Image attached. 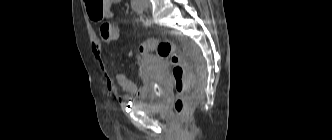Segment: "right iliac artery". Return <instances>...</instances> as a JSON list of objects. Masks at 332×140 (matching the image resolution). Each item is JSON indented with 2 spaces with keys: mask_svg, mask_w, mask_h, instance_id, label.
<instances>
[{
  "mask_svg": "<svg viewBox=\"0 0 332 140\" xmlns=\"http://www.w3.org/2000/svg\"><path fill=\"white\" fill-rule=\"evenodd\" d=\"M131 7L136 13H138V14L143 13V10H144L143 6L138 0H132L131 1Z\"/></svg>",
  "mask_w": 332,
  "mask_h": 140,
  "instance_id": "1",
  "label": "right iliac artery"
}]
</instances>
